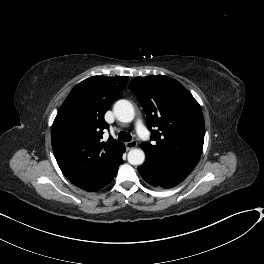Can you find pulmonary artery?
Segmentation results:
<instances>
[{
    "label": "pulmonary artery",
    "instance_id": "1",
    "mask_svg": "<svg viewBox=\"0 0 264 264\" xmlns=\"http://www.w3.org/2000/svg\"><path fill=\"white\" fill-rule=\"evenodd\" d=\"M143 123L141 121L138 122V127H142Z\"/></svg>",
    "mask_w": 264,
    "mask_h": 264
}]
</instances>
